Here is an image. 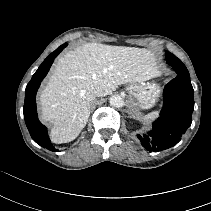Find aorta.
<instances>
[{
  "instance_id": "762f6f07",
  "label": "aorta",
  "mask_w": 211,
  "mask_h": 211,
  "mask_svg": "<svg viewBox=\"0 0 211 211\" xmlns=\"http://www.w3.org/2000/svg\"><path fill=\"white\" fill-rule=\"evenodd\" d=\"M110 104L114 107H122L124 105V99L120 95H113L110 97Z\"/></svg>"
}]
</instances>
